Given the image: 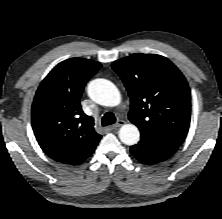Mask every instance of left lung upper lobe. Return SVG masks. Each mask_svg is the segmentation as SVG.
I'll return each mask as SVG.
<instances>
[{
	"mask_svg": "<svg viewBox=\"0 0 222 219\" xmlns=\"http://www.w3.org/2000/svg\"><path fill=\"white\" fill-rule=\"evenodd\" d=\"M131 99L129 120L141 134L180 146L189 130L191 95L180 70L157 54H132L112 63Z\"/></svg>",
	"mask_w": 222,
	"mask_h": 219,
	"instance_id": "left-lung-upper-lobe-1",
	"label": "left lung upper lobe"
}]
</instances>
